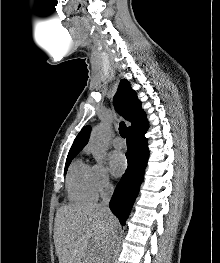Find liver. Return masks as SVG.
<instances>
[{"instance_id": "liver-1", "label": "liver", "mask_w": 220, "mask_h": 263, "mask_svg": "<svg viewBox=\"0 0 220 263\" xmlns=\"http://www.w3.org/2000/svg\"><path fill=\"white\" fill-rule=\"evenodd\" d=\"M119 222L100 204L61 206L54 223V244L59 263H93L95 255L105 258V245Z\"/></svg>"}]
</instances>
